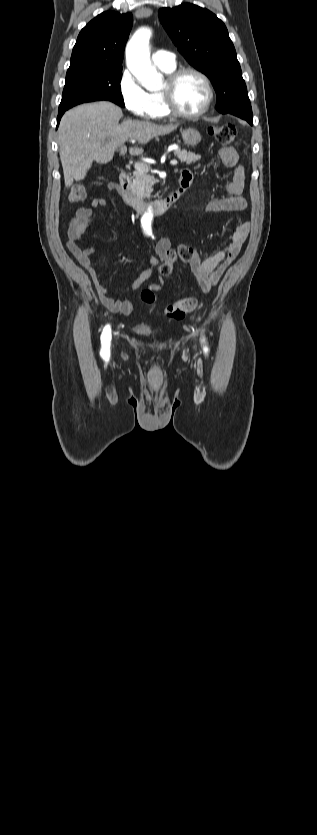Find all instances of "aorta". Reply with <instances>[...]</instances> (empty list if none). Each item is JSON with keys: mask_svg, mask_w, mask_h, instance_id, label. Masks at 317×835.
Listing matches in <instances>:
<instances>
[{"mask_svg": "<svg viewBox=\"0 0 317 835\" xmlns=\"http://www.w3.org/2000/svg\"><path fill=\"white\" fill-rule=\"evenodd\" d=\"M151 29L144 27L138 29L129 40L126 46V64L132 75L147 90H155L162 87V75L157 72L150 59V38ZM153 213H146L144 222H151Z\"/></svg>", "mask_w": 317, "mask_h": 835, "instance_id": "762f6f07", "label": "aorta"}]
</instances>
